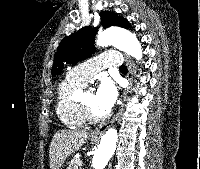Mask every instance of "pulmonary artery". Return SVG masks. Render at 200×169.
Instances as JSON below:
<instances>
[{"label": "pulmonary artery", "instance_id": "obj_1", "mask_svg": "<svg viewBox=\"0 0 200 169\" xmlns=\"http://www.w3.org/2000/svg\"><path fill=\"white\" fill-rule=\"evenodd\" d=\"M121 63L122 58L117 51L102 53L78 64L68 73V77L85 85L101 69L108 66H120Z\"/></svg>", "mask_w": 200, "mask_h": 169}]
</instances>
